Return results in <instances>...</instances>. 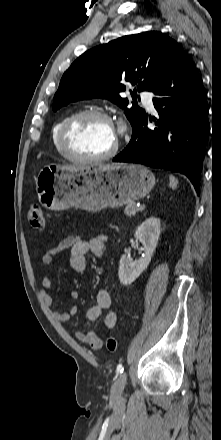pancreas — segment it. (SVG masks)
<instances>
[{
  "label": "pancreas",
  "mask_w": 221,
  "mask_h": 440,
  "mask_svg": "<svg viewBox=\"0 0 221 440\" xmlns=\"http://www.w3.org/2000/svg\"><path fill=\"white\" fill-rule=\"evenodd\" d=\"M140 211L139 208L136 207V204L131 202L128 205H126L125 209H124V213L127 216H133L136 214V212Z\"/></svg>",
  "instance_id": "obj_1"
}]
</instances>
